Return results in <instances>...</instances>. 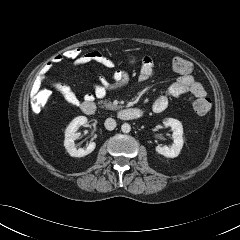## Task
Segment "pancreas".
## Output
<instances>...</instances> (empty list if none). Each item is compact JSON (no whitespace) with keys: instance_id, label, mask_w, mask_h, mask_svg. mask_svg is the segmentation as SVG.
Returning <instances> with one entry per match:
<instances>
[{"instance_id":"pancreas-1","label":"pancreas","mask_w":240,"mask_h":240,"mask_svg":"<svg viewBox=\"0 0 240 240\" xmlns=\"http://www.w3.org/2000/svg\"><path fill=\"white\" fill-rule=\"evenodd\" d=\"M100 104H103L102 107H105L106 109H109V110L119 109V106L115 105L114 103L108 100L100 101Z\"/></svg>"}]
</instances>
